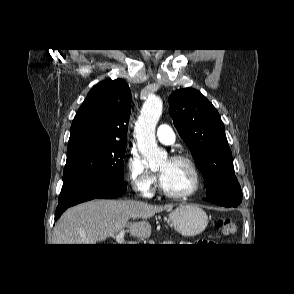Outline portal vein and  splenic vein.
I'll use <instances>...</instances> for the list:
<instances>
[{
	"instance_id": "portal-vein-and-splenic-vein-1",
	"label": "portal vein and splenic vein",
	"mask_w": 294,
	"mask_h": 294,
	"mask_svg": "<svg viewBox=\"0 0 294 294\" xmlns=\"http://www.w3.org/2000/svg\"><path fill=\"white\" fill-rule=\"evenodd\" d=\"M124 236H125V230L124 229H121L120 231H119V233L116 235V241L118 242V243H125V241H124Z\"/></svg>"
}]
</instances>
